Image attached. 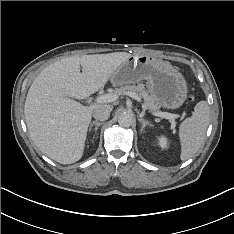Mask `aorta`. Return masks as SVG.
<instances>
[{"label":"aorta","instance_id":"1","mask_svg":"<svg viewBox=\"0 0 234 234\" xmlns=\"http://www.w3.org/2000/svg\"><path fill=\"white\" fill-rule=\"evenodd\" d=\"M118 123L120 126L129 127L133 123V117L129 113H121L118 118Z\"/></svg>","mask_w":234,"mask_h":234}]
</instances>
